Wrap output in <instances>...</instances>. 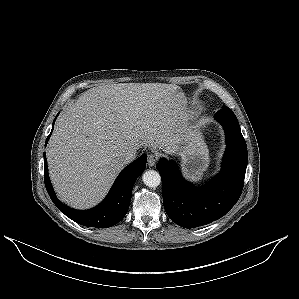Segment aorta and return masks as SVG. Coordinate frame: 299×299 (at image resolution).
Returning a JSON list of instances; mask_svg holds the SVG:
<instances>
[{
    "label": "aorta",
    "mask_w": 299,
    "mask_h": 299,
    "mask_svg": "<svg viewBox=\"0 0 299 299\" xmlns=\"http://www.w3.org/2000/svg\"><path fill=\"white\" fill-rule=\"evenodd\" d=\"M143 182L146 186L155 188L161 183V176L157 171L148 170L142 175Z\"/></svg>",
    "instance_id": "762f6f07"
}]
</instances>
